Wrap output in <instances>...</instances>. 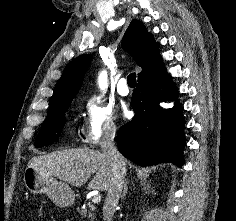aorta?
I'll use <instances>...</instances> for the list:
<instances>
[{
    "label": "aorta",
    "instance_id": "obj_1",
    "mask_svg": "<svg viewBox=\"0 0 236 221\" xmlns=\"http://www.w3.org/2000/svg\"><path fill=\"white\" fill-rule=\"evenodd\" d=\"M101 87H102V89H105L107 87V74H106V72H104L102 75Z\"/></svg>",
    "mask_w": 236,
    "mask_h": 221
}]
</instances>
